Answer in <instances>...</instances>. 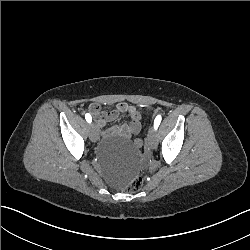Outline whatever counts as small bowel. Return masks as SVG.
Listing matches in <instances>:
<instances>
[{
    "instance_id": "small-bowel-1",
    "label": "small bowel",
    "mask_w": 250,
    "mask_h": 250,
    "mask_svg": "<svg viewBox=\"0 0 250 250\" xmlns=\"http://www.w3.org/2000/svg\"><path fill=\"white\" fill-rule=\"evenodd\" d=\"M137 110L134 106L128 105L126 103H120L117 107L108 112L101 110L100 106L96 103H92L88 107V111L93 115L95 119L96 126L98 128H103L107 123L115 120L121 113H128L130 116L131 111ZM141 130V122L130 121L129 124L113 126L109 133L111 135H118L123 138H131L132 136L137 135Z\"/></svg>"
}]
</instances>
